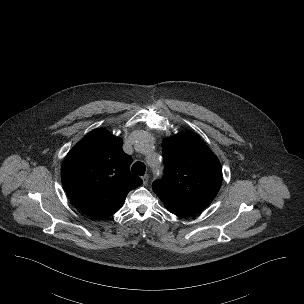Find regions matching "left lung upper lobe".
I'll use <instances>...</instances> for the list:
<instances>
[{"mask_svg":"<svg viewBox=\"0 0 304 304\" xmlns=\"http://www.w3.org/2000/svg\"><path fill=\"white\" fill-rule=\"evenodd\" d=\"M165 174L153 183L167 210L192 216L206 208L222 183L218 158L194 133H184L162 143Z\"/></svg>","mask_w":304,"mask_h":304,"instance_id":"1","label":"left lung upper lobe"}]
</instances>
